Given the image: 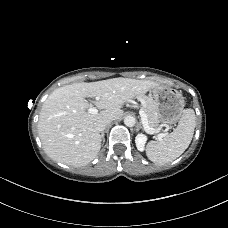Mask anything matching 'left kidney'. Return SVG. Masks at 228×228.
<instances>
[{
  "label": "left kidney",
  "mask_w": 228,
  "mask_h": 228,
  "mask_svg": "<svg viewBox=\"0 0 228 228\" xmlns=\"http://www.w3.org/2000/svg\"><path fill=\"white\" fill-rule=\"evenodd\" d=\"M147 141V136L140 133L135 137L136 147L139 151H144L145 143Z\"/></svg>",
  "instance_id": "obj_1"
}]
</instances>
